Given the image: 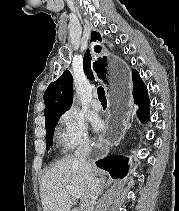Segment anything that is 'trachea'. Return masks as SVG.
<instances>
[{
	"instance_id": "3493384b",
	"label": "trachea",
	"mask_w": 179,
	"mask_h": 211,
	"mask_svg": "<svg viewBox=\"0 0 179 211\" xmlns=\"http://www.w3.org/2000/svg\"><path fill=\"white\" fill-rule=\"evenodd\" d=\"M97 94L100 101H106V96L103 87H98Z\"/></svg>"
}]
</instances>
